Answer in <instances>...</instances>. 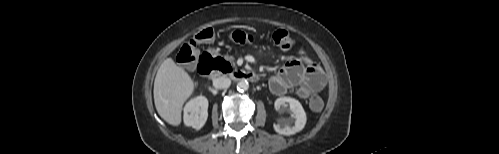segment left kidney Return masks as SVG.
I'll use <instances>...</instances> for the list:
<instances>
[{"label": "left kidney", "mask_w": 499, "mask_h": 154, "mask_svg": "<svg viewBox=\"0 0 499 154\" xmlns=\"http://www.w3.org/2000/svg\"><path fill=\"white\" fill-rule=\"evenodd\" d=\"M274 107L279 112L290 111L291 117L295 119L294 126L274 124L273 127L277 133L283 135H293L304 128L307 117L301 103L298 100L291 97H280L276 99Z\"/></svg>", "instance_id": "left-kidney-1"}]
</instances>
